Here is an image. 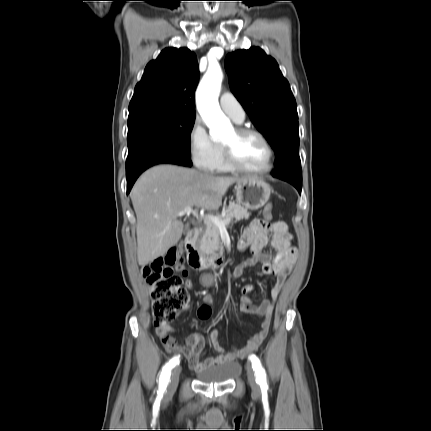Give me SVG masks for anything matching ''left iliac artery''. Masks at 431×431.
I'll use <instances>...</instances> for the list:
<instances>
[{"mask_svg": "<svg viewBox=\"0 0 431 431\" xmlns=\"http://www.w3.org/2000/svg\"><path fill=\"white\" fill-rule=\"evenodd\" d=\"M249 359L252 363V368L256 373L257 383L260 385L261 388H267L265 369L263 368L259 358L256 355H251Z\"/></svg>", "mask_w": 431, "mask_h": 431, "instance_id": "obj_1", "label": "left iliac artery"}]
</instances>
